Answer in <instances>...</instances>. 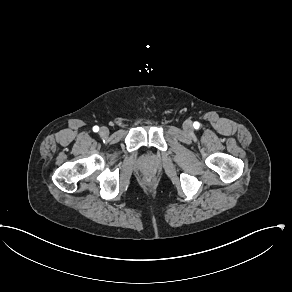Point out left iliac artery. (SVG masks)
I'll use <instances>...</instances> for the list:
<instances>
[{"label": "left iliac artery", "instance_id": "left-iliac-artery-1", "mask_svg": "<svg viewBox=\"0 0 292 292\" xmlns=\"http://www.w3.org/2000/svg\"><path fill=\"white\" fill-rule=\"evenodd\" d=\"M193 126H194V128L197 129L199 127V123L198 122H194Z\"/></svg>", "mask_w": 292, "mask_h": 292}]
</instances>
